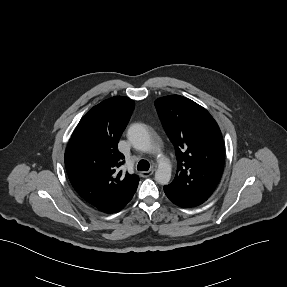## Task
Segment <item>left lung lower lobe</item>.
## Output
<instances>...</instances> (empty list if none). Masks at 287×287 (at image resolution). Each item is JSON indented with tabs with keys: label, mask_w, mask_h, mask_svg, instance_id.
Returning <instances> with one entry per match:
<instances>
[{
	"label": "left lung lower lobe",
	"mask_w": 287,
	"mask_h": 287,
	"mask_svg": "<svg viewBox=\"0 0 287 287\" xmlns=\"http://www.w3.org/2000/svg\"><path fill=\"white\" fill-rule=\"evenodd\" d=\"M164 192L174 204L183 208L198 206L206 201L181 193L167 186H164Z\"/></svg>",
	"instance_id": "left-lung-lower-lobe-1"
}]
</instances>
